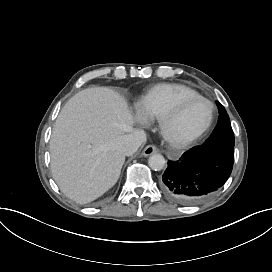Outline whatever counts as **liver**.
Returning a JSON list of instances; mask_svg holds the SVG:
<instances>
[{
	"label": "liver",
	"instance_id": "6515ba94",
	"mask_svg": "<svg viewBox=\"0 0 272 272\" xmlns=\"http://www.w3.org/2000/svg\"><path fill=\"white\" fill-rule=\"evenodd\" d=\"M132 123L125 102L109 88L85 89L65 104L50 151L53 178L67 197L89 203L116 184L125 162L116 142Z\"/></svg>",
	"mask_w": 272,
	"mask_h": 272
}]
</instances>
